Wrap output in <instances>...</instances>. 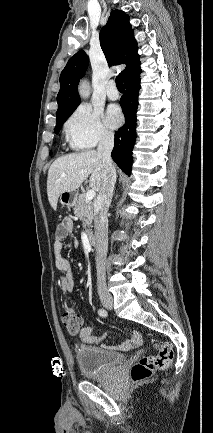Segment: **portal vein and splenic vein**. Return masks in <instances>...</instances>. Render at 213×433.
I'll use <instances>...</instances> for the list:
<instances>
[{"label":"portal vein and splenic vein","mask_w":213,"mask_h":433,"mask_svg":"<svg viewBox=\"0 0 213 433\" xmlns=\"http://www.w3.org/2000/svg\"><path fill=\"white\" fill-rule=\"evenodd\" d=\"M63 176H65V175H63ZM94 196H95V191L92 190V189L88 190L87 193H86V195H85V200L86 201H91L94 198Z\"/></svg>","instance_id":"18ae733b"}]
</instances>
